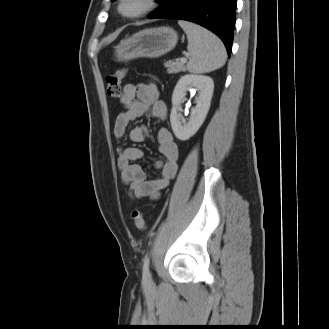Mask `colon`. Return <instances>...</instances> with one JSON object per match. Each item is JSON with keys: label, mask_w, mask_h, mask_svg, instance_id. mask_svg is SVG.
<instances>
[{"label": "colon", "mask_w": 329, "mask_h": 329, "mask_svg": "<svg viewBox=\"0 0 329 329\" xmlns=\"http://www.w3.org/2000/svg\"><path fill=\"white\" fill-rule=\"evenodd\" d=\"M126 72L127 70L125 68H122L107 76V93L110 97H120L122 93L121 82L124 76L126 75ZM132 218L136 229L140 232H143L146 229V221L143 212L140 210H134L132 213Z\"/></svg>", "instance_id": "colon-1"}]
</instances>
